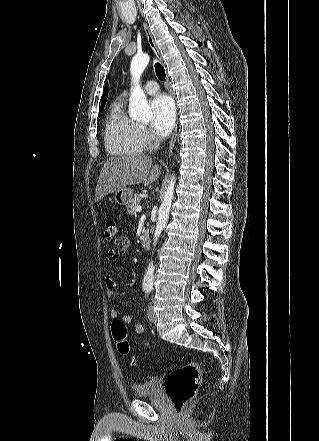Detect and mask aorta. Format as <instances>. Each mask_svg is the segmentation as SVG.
Returning a JSON list of instances; mask_svg holds the SVG:
<instances>
[{"label":"aorta","instance_id":"1","mask_svg":"<svg viewBox=\"0 0 319 441\" xmlns=\"http://www.w3.org/2000/svg\"><path fill=\"white\" fill-rule=\"evenodd\" d=\"M150 57L148 54H137L132 58L130 65L131 73V96L129 103V115L132 119L148 122L152 120L153 113L148 105L147 97L140 86V78L148 65ZM176 183V177L171 176L168 186L165 191L164 198L161 202V206L158 210V220L155 227L153 246H156L159 237L166 227L169 219L170 208L172 200L174 198V186ZM154 279V265L150 262L143 279V287L151 288L153 286Z\"/></svg>","mask_w":319,"mask_h":441}]
</instances>
